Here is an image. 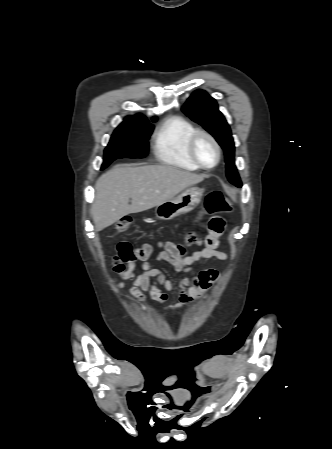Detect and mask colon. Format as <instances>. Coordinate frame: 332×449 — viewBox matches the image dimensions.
<instances>
[{
    "instance_id": "1",
    "label": "colon",
    "mask_w": 332,
    "mask_h": 449,
    "mask_svg": "<svg viewBox=\"0 0 332 449\" xmlns=\"http://www.w3.org/2000/svg\"><path fill=\"white\" fill-rule=\"evenodd\" d=\"M233 205L234 201L232 198L224 195L221 191H213L204 200V213L207 215L227 214L231 212ZM131 224L132 222L129 219H121L115 224L114 231L118 234L124 233L130 229ZM185 241L192 246L198 242V239L194 233L188 232ZM135 260L136 255L131 244L127 241H121L113 258L114 266L119 267L132 263Z\"/></svg>"
}]
</instances>
